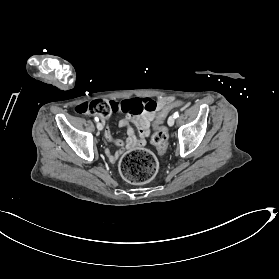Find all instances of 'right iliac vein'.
I'll return each instance as SVG.
<instances>
[{"label": "right iliac vein", "mask_w": 279, "mask_h": 279, "mask_svg": "<svg viewBox=\"0 0 279 279\" xmlns=\"http://www.w3.org/2000/svg\"><path fill=\"white\" fill-rule=\"evenodd\" d=\"M96 126H97V129H98L99 131H101V130L103 129V125H102L101 122H98Z\"/></svg>", "instance_id": "obj_1"}]
</instances>
